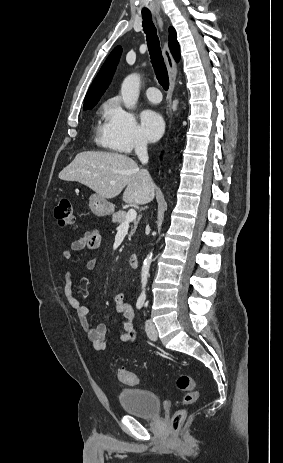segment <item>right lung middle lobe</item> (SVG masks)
<instances>
[{"mask_svg": "<svg viewBox=\"0 0 283 463\" xmlns=\"http://www.w3.org/2000/svg\"><path fill=\"white\" fill-rule=\"evenodd\" d=\"M95 105H96V104L88 105V106H83V110L91 109V108H93Z\"/></svg>", "mask_w": 283, "mask_h": 463, "instance_id": "dd1d6c3e", "label": "right lung middle lobe"}]
</instances>
